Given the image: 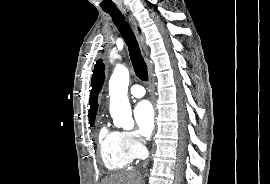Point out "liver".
I'll list each match as a JSON object with an SVG mask.
<instances>
[{"label": "liver", "mask_w": 270, "mask_h": 184, "mask_svg": "<svg viewBox=\"0 0 270 184\" xmlns=\"http://www.w3.org/2000/svg\"><path fill=\"white\" fill-rule=\"evenodd\" d=\"M138 176L134 172L112 174L105 177L101 184H137Z\"/></svg>", "instance_id": "1"}]
</instances>
